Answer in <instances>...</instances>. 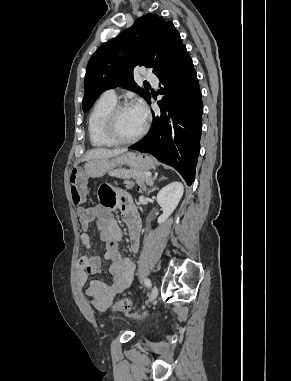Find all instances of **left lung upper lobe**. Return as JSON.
I'll return each mask as SVG.
<instances>
[{"instance_id": "left-lung-upper-lobe-1", "label": "left lung upper lobe", "mask_w": 291, "mask_h": 381, "mask_svg": "<svg viewBox=\"0 0 291 381\" xmlns=\"http://www.w3.org/2000/svg\"><path fill=\"white\" fill-rule=\"evenodd\" d=\"M184 48L172 21H164L157 14L140 17L133 26L100 46L89 60L83 111L89 110L102 92L118 86L138 93L149 102L151 94L136 85L133 69L144 65L158 76Z\"/></svg>"}]
</instances>
